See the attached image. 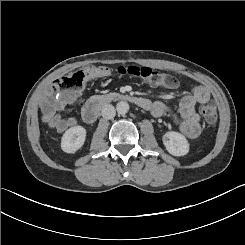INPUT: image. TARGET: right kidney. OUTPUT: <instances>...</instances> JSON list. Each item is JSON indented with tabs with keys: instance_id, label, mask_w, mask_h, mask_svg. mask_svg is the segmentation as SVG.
<instances>
[{
	"instance_id": "1",
	"label": "right kidney",
	"mask_w": 245,
	"mask_h": 245,
	"mask_svg": "<svg viewBox=\"0 0 245 245\" xmlns=\"http://www.w3.org/2000/svg\"><path fill=\"white\" fill-rule=\"evenodd\" d=\"M68 136V154L76 153L85 144L87 131L83 126L77 125L66 130Z\"/></svg>"
}]
</instances>
